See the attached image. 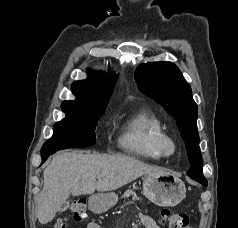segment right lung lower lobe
I'll use <instances>...</instances> for the list:
<instances>
[{"label":"right lung lower lobe","instance_id":"obj_1","mask_svg":"<svg viewBox=\"0 0 238 228\" xmlns=\"http://www.w3.org/2000/svg\"><path fill=\"white\" fill-rule=\"evenodd\" d=\"M55 152H57V151L41 152V156H42V163H41V165L46 161V159L48 158L49 155H52Z\"/></svg>","mask_w":238,"mask_h":228}]
</instances>
